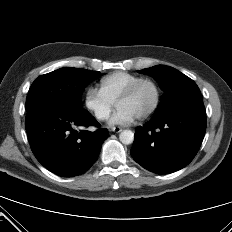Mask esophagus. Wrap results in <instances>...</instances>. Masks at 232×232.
Listing matches in <instances>:
<instances>
[{"instance_id": "esophagus-1", "label": "esophagus", "mask_w": 232, "mask_h": 232, "mask_svg": "<svg viewBox=\"0 0 232 232\" xmlns=\"http://www.w3.org/2000/svg\"><path fill=\"white\" fill-rule=\"evenodd\" d=\"M111 131H112V132H115V133H119V132L122 131V128H121V127H118V126H117V127H112V128H111Z\"/></svg>"}]
</instances>
